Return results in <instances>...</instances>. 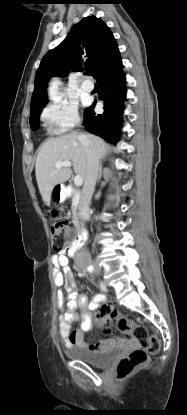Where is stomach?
Listing matches in <instances>:
<instances>
[{
    "label": "stomach",
    "mask_w": 187,
    "mask_h": 415,
    "mask_svg": "<svg viewBox=\"0 0 187 415\" xmlns=\"http://www.w3.org/2000/svg\"><path fill=\"white\" fill-rule=\"evenodd\" d=\"M65 188L63 185H56L51 193L52 198L57 201H62V198L64 196Z\"/></svg>",
    "instance_id": "1"
}]
</instances>
